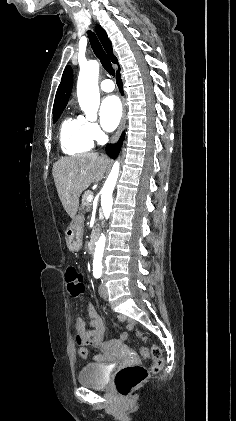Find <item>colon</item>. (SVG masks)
Instances as JSON below:
<instances>
[{"instance_id":"colon-1","label":"colon","mask_w":236,"mask_h":421,"mask_svg":"<svg viewBox=\"0 0 236 421\" xmlns=\"http://www.w3.org/2000/svg\"><path fill=\"white\" fill-rule=\"evenodd\" d=\"M67 287L70 295L73 298H79L84 292V283L81 273L74 267L68 268L66 272ZM141 335L140 333H138ZM141 355L143 358H153L154 363L151 371L159 372L163 365L164 359L162 357L161 349L157 346L149 348H142ZM149 376V371L146 367L134 364L121 368L115 375V386L119 394L127 397L135 390L141 383H143Z\"/></svg>"}]
</instances>
